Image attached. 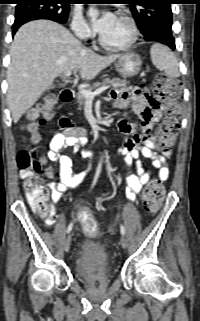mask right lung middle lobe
Wrapping results in <instances>:
<instances>
[{
    "label": "right lung middle lobe",
    "instance_id": "obj_1",
    "mask_svg": "<svg viewBox=\"0 0 200 321\" xmlns=\"http://www.w3.org/2000/svg\"><path fill=\"white\" fill-rule=\"evenodd\" d=\"M70 3L67 0H23L17 3L15 18L29 13L47 14L63 24L68 19Z\"/></svg>",
    "mask_w": 200,
    "mask_h": 321
}]
</instances>
